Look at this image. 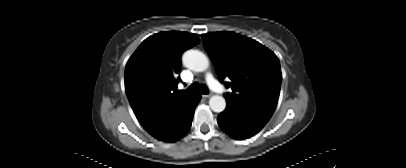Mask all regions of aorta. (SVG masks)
Returning a JSON list of instances; mask_svg holds the SVG:
<instances>
[{
    "label": "aorta",
    "instance_id": "aorta-1",
    "mask_svg": "<svg viewBox=\"0 0 406 168\" xmlns=\"http://www.w3.org/2000/svg\"><path fill=\"white\" fill-rule=\"evenodd\" d=\"M183 65L195 72H203L209 66V60L204 53L199 50H188L182 56ZM209 106L212 111L220 113L226 107L223 96L214 95L209 99Z\"/></svg>",
    "mask_w": 406,
    "mask_h": 168
}]
</instances>
